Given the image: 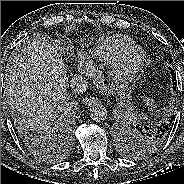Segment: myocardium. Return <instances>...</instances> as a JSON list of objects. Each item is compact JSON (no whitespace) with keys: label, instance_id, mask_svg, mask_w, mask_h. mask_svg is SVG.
<instances>
[{"label":"myocardium","instance_id":"1","mask_svg":"<svg viewBox=\"0 0 184 184\" xmlns=\"http://www.w3.org/2000/svg\"><path fill=\"white\" fill-rule=\"evenodd\" d=\"M146 59L145 52L140 47H132L111 60L107 67V77L118 87L131 83L140 72Z\"/></svg>","mask_w":184,"mask_h":184}]
</instances>
